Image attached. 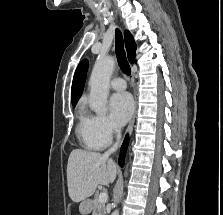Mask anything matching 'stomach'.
Segmentation results:
<instances>
[{
	"label": "stomach",
	"mask_w": 223,
	"mask_h": 215,
	"mask_svg": "<svg viewBox=\"0 0 223 215\" xmlns=\"http://www.w3.org/2000/svg\"><path fill=\"white\" fill-rule=\"evenodd\" d=\"M92 204L90 203V199H84V201H81L80 205H79V211L80 213H83V215H86V213H90V206Z\"/></svg>",
	"instance_id": "obj_1"
}]
</instances>
